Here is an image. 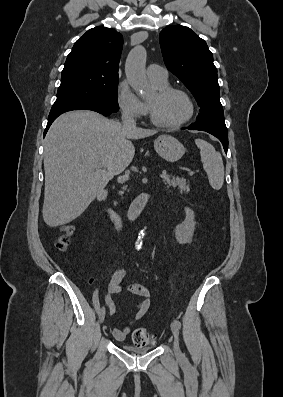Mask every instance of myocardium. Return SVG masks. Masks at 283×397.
<instances>
[{
  "instance_id": "f54148a6",
  "label": "myocardium",
  "mask_w": 283,
  "mask_h": 397,
  "mask_svg": "<svg viewBox=\"0 0 283 397\" xmlns=\"http://www.w3.org/2000/svg\"><path fill=\"white\" fill-rule=\"evenodd\" d=\"M171 93H180L183 96H185V98L188 100L189 105H190V112L187 117H185L184 119H182L178 122L166 123V122L161 121L158 118L157 113H156V103L158 101L164 99L166 96H168ZM147 107H148L151 122L157 127L166 128V129L178 128V127H181L184 124L188 123L193 118V116L195 114V109H196L194 100L191 97V95L184 89L179 88V87H173V86H167V87L158 89L155 92V100L154 101L148 100Z\"/></svg>"
}]
</instances>
